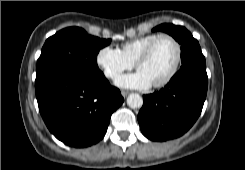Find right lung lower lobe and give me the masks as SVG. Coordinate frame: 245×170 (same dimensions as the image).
<instances>
[{
  "mask_svg": "<svg viewBox=\"0 0 245 170\" xmlns=\"http://www.w3.org/2000/svg\"><path fill=\"white\" fill-rule=\"evenodd\" d=\"M41 116L64 144L88 147L105 135L112 113L123 103L119 89L101 71L65 72L35 87Z\"/></svg>",
  "mask_w": 245,
  "mask_h": 170,
  "instance_id": "1",
  "label": "right lung lower lobe"
}]
</instances>
